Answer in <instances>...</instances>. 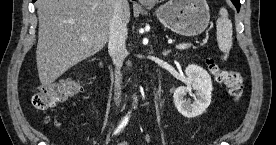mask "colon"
<instances>
[{
	"label": "colon",
	"mask_w": 276,
	"mask_h": 145,
	"mask_svg": "<svg viewBox=\"0 0 276 145\" xmlns=\"http://www.w3.org/2000/svg\"><path fill=\"white\" fill-rule=\"evenodd\" d=\"M209 72L216 81L227 87L228 93L234 100H239L244 91V81L237 70L221 68L213 59L206 61ZM81 90V85L73 79H64L57 83L39 87L33 96L32 103L36 110L45 111L65 104Z\"/></svg>",
	"instance_id": "1"
}]
</instances>
